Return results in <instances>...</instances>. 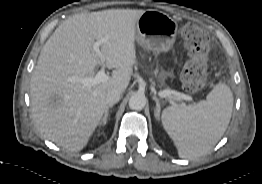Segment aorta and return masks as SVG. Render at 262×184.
<instances>
[{"mask_svg": "<svg viewBox=\"0 0 262 184\" xmlns=\"http://www.w3.org/2000/svg\"><path fill=\"white\" fill-rule=\"evenodd\" d=\"M128 104L132 110L140 111L146 105V98L142 94H134L130 97Z\"/></svg>", "mask_w": 262, "mask_h": 184, "instance_id": "obj_1", "label": "aorta"}]
</instances>
